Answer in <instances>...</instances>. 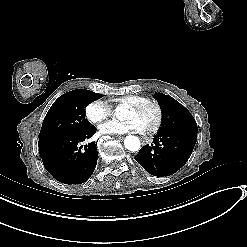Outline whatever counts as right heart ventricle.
<instances>
[{
	"instance_id": "1",
	"label": "right heart ventricle",
	"mask_w": 247,
	"mask_h": 247,
	"mask_svg": "<svg viewBox=\"0 0 247 247\" xmlns=\"http://www.w3.org/2000/svg\"><path fill=\"white\" fill-rule=\"evenodd\" d=\"M142 98H144V97L130 95V96H123V97L117 98L114 100V102H115V104H117L119 106H126L129 104L136 103L137 101H139Z\"/></svg>"
}]
</instances>
